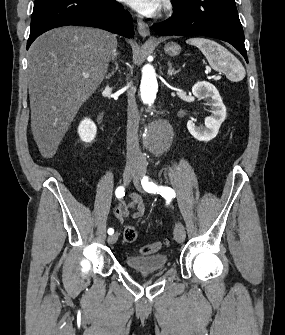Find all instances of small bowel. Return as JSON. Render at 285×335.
<instances>
[{"instance_id":"obj_1","label":"small bowel","mask_w":285,"mask_h":335,"mask_svg":"<svg viewBox=\"0 0 285 335\" xmlns=\"http://www.w3.org/2000/svg\"><path fill=\"white\" fill-rule=\"evenodd\" d=\"M113 213L118 222L125 219H141L145 216L146 206L139 194L132 193L128 202L119 200L115 204Z\"/></svg>"}]
</instances>
